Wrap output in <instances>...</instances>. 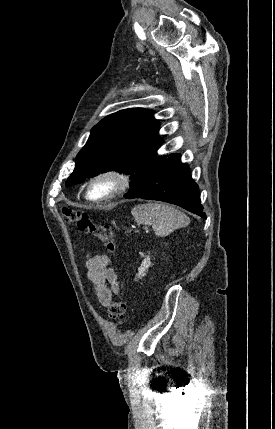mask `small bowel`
Returning a JSON list of instances; mask_svg holds the SVG:
<instances>
[{
  "label": "small bowel",
  "instance_id": "small-bowel-1",
  "mask_svg": "<svg viewBox=\"0 0 275 429\" xmlns=\"http://www.w3.org/2000/svg\"><path fill=\"white\" fill-rule=\"evenodd\" d=\"M87 276L92 284L93 293L103 306L110 305L113 295L119 290L117 276L109 266L106 255H94L87 259Z\"/></svg>",
  "mask_w": 275,
  "mask_h": 429
}]
</instances>
